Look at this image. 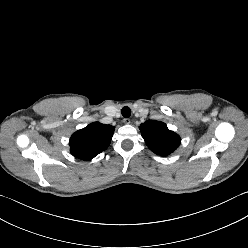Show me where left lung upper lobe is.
<instances>
[{"instance_id": "1", "label": "left lung upper lobe", "mask_w": 248, "mask_h": 248, "mask_svg": "<svg viewBox=\"0 0 248 248\" xmlns=\"http://www.w3.org/2000/svg\"><path fill=\"white\" fill-rule=\"evenodd\" d=\"M147 146L156 154L167 156L178 148L180 136L170 131L167 125L156 120H149L139 127Z\"/></svg>"}]
</instances>
